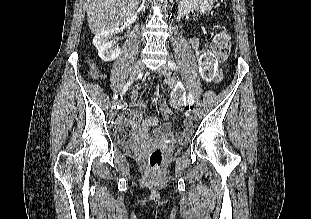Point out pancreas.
I'll return each mask as SVG.
<instances>
[{
  "mask_svg": "<svg viewBox=\"0 0 311 219\" xmlns=\"http://www.w3.org/2000/svg\"><path fill=\"white\" fill-rule=\"evenodd\" d=\"M197 1L198 0H186V8L193 9L194 7L197 6Z\"/></svg>",
  "mask_w": 311,
  "mask_h": 219,
  "instance_id": "cf45deb5",
  "label": "pancreas"
}]
</instances>
